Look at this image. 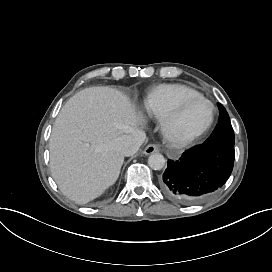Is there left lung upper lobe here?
Returning a JSON list of instances; mask_svg holds the SVG:
<instances>
[{"mask_svg":"<svg viewBox=\"0 0 272 272\" xmlns=\"http://www.w3.org/2000/svg\"><path fill=\"white\" fill-rule=\"evenodd\" d=\"M218 108L220 111L219 124L213 134L205 141L204 144L234 147L235 137L229 115L222 104L219 103Z\"/></svg>","mask_w":272,"mask_h":272,"instance_id":"5c2ea615","label":"left lung upper lobe"}]
</instances>
